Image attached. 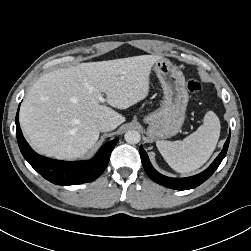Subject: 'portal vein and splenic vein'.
I'll return each instance as SVG.
<instances>
[{
    "mask_svg": "<svg viewBox=\"0 0 251 251\" xmlns=\"http://www.w3.org/2000/svg\"><path fill=\"white\" fill-rule=\"evenodd\" d=\"M98 99H99V101L104 102V98L102 97V95H100V96L98 97Z\"/></svg>",
    "mask_w": 251,
    "mask_h": 251,
    "instance_id": "1",
    "label": "portal vein and splenic vein"
}]
</instances>
